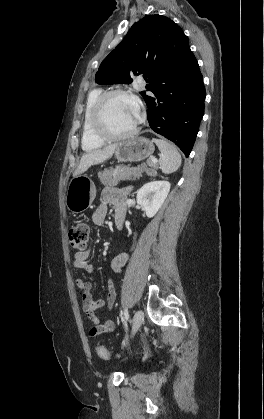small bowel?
I'll return each mask as SVG.
<instances>
[{
  "label": "small bowel",
  "mask_w": 264,
  "mask_h": 419,
  "mask_svg": "<svg viewBox=\"0 0 264 419\" xmlns=\"http://www.w3.org/2000/svg\"><path fill=\"white\" fill-rule=\"evenodd\" d=\"M126 189H104L101 194V204L95 210L92 219L96 225H103L108 213V204L115 206V219L120 216L124 219ZM89 253L87 251L77 252L73 259V267L85 270L89 273L94 272V268L88 262ZM128 259V253L123 252L117 255L111 264L113 271L119 273ZM76 286L82 291L83 309L93 327L89 331L90 337L96 339L103 334L114 330L115 324L112 320H102L96 314V311L105 305L111 308L116 299V291L111 279H107L108 295L107 299H94L91 294L92 283L82 278H77Z\"/></svg>",
  "instance_id": "small-bowel-1"
}]
</instances>
